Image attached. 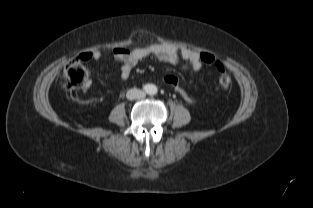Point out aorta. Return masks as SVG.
Here are the masks:
<instances>
[{
	"mask_svg": "<svg viewBox=\"0 0 313 208\" xmlns=\"http://www.w3.org/2000/svg\"><path fill=\"white\" fill-rule=\"evenodd\" d=\"M156 90H157V89H156V86H152V91H151V93H152V94H155V93H156Z\"/></svg>",
	"mask_w": 313,
	"mask_h": 208,
	"instance_id": "obj_1",
	"label": "aorta"
}]
</instances>
